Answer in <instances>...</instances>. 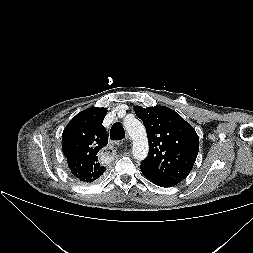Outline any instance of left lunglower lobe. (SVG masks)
Listing matches in <instances>:
<instances>
[{
	"label": "left lung lower lobe",
	"instance_id": "left-lung-lower-lobe-1",
	"mask_svg": "<svg viewBox=\"0 0 253 253\" xmlns=\"http://www.w3.org/2000/svg\"><path fill=\"white\" fill-rule=\"evenodd\" d=\"M149 179V178H148ZM151 180V179H149ZM154 184L160 186V187H171V185L163 183V182H159V181H155V180H151Z\"/></svg>",
	"mask_w": 253,
	"mask_h": 253
}]
</instances>
